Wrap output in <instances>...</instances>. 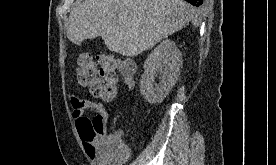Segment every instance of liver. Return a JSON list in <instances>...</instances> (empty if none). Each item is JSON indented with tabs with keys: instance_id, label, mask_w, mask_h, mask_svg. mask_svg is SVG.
<instances>
[{
	"instance_id": "1",
	"label": "liver",
	"mask_w": 276,
	"mask_h": 165,
	"mask_svg": "<svg viewBox=\"0 0 276 165\" xmlns=\"http://www.w3.org/2000/svg\"><path fill=\"white\" fill-rule=\"evenodd\" d=\"M196 17L183 0H85L69 15L67 37L81 45L100 36L110 51L134 57Z\"/></svg>"
}]
</instances>
